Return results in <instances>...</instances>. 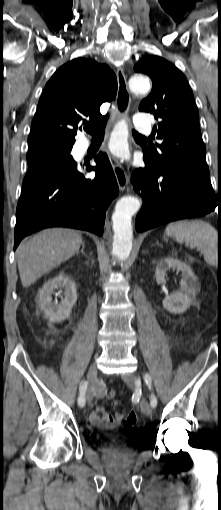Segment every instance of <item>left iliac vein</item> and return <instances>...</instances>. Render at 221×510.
Masks as SVG:
<instances>
[{
    "label": "left iliac vein",
    "instance_id": "1",
    "mask_svg": "<svg viewBox=\"0 0 221 510\" xmlns=\"http://www.w3.org/2000/svg\"><path fill=\"white\" fill-rule=\"evenodd\" d=\"M122 379L129 386H135L136 375L134 373L123 374L122 375ZM140 407H141V411L145 415L149 416V415L152 414V408H151L150 404L148 403V401L145 398H142L141 403H140Z\"/></svg>",
    "mask_w": 221,
    "mask_h": 510
}]
</instances>
